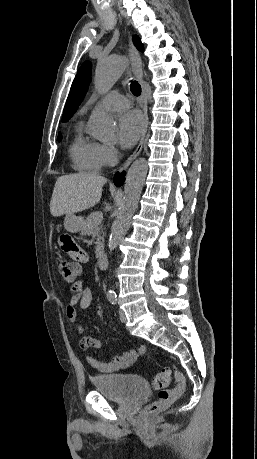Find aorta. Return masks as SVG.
Masks as SVG:
<instances>
[{"mask_svg": "<svg viewBox=\"0 0 257 459\" xmlns=\"http://www.w3.org/2000/svg\"><path fill=\"white\" fill-rule=\"evenodd\" d=\"M125 69V60L122 56H113L101 61L96 68L94 84L96 90L106 94L120 78ZM91 135L102 141L110 142L115 138V121L104 112L94 113L89 121ZM148 164L146 159L135 160L128 170L124 197L119 207L115 221L111 227V234L108 241L110 251L116 249L124 238L130 218L135 212L143 184L147 175ZM108 295L112 296L113 291L109 290Z\"/></svg>", "mask_w": 257, "mask_h": 459, "instance_id": "1", "label": "aorta"}]
</instances>
